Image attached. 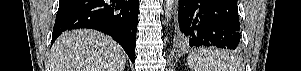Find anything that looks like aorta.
<instances>
[{
  "label": "aorta",
  "mask_w": 301,
  "mask_h": 71,
  "mask_svg": "<svg viewBox=\"0 0 301 71\" xmlns=\"http://www.w3.org/2000/svg\"><path fill=\"white\" fill-rule=\"evenodd\" d=\"M175 0H165V17L167 20V23L171 19L172 10L174 7Z\"/></svg>",
  "instance_id": "obj_1"
}]
</instances>
